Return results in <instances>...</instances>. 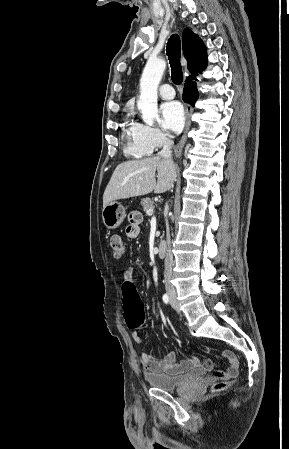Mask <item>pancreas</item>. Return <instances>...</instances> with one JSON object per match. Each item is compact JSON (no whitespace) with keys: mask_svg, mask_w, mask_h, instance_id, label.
I'll use <instances>...</instances> for the list:
<instances>
[{"mask_svg":"<svg viewBox=\"0 0 289 449\" xmlns=\"http://www.w3.org/2000/svg\"><path fill=\"white\" fill-rule=\"evenodd\" d=\"M140 204L145 212L154 208V202L150 198H143Z\"/></svg>","mask_w":289,"mask_h":449,"instance_id":"1","label":"pancreas"}]
</instances>
